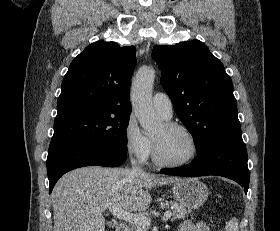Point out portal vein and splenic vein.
Here are the masks:
<instances>
[{
  "mask_svg": "<svg viewBox=\"0 0 280 231\" xmlns=\"http://www.w3.org/2000/svg\"><path fill=\"white\" fill-rule=\"evenodd\" d=\"M109 211L119 217V219H125V221H131V223H138V225H150L151 219L145 217L143 213H130V211H125L122 207H109ZM173 211L168 209L165 211L162 219L163 221H168L172 215Z\"/></svg>",
  "mask_w": 280,
  "mask_h": 231,
  "instance_id": "obj_1",
  "label": "portal vein and splenic vein"
}]
</instances>
